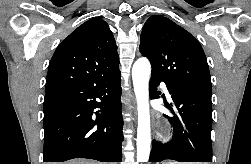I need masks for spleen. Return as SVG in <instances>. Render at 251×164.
<instances>
[{
    "label": "spleen",
    "mask_w": 251,
    "mask_h": 164,
    "mask_svg": "<svg viewBox=\"0 0 251 164\" xmlns=\"http://www.w3.org/2000/svg\"><path fill=\"white\" fill-rule=\"evenodd\" d=\"M165 164H176V163H173V162H169V163H165Z\"/></svg>",
    "instance_id": "spleen-1"
}]
</instances>
